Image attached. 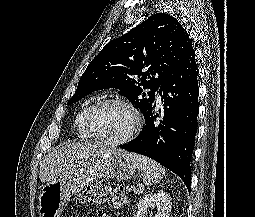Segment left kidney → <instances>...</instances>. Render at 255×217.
Instances as JSON below:
<instances>
[{
	"label": "left kidney",
	"instance_id": "obj_1",
	"mask_svg": "<svg viewBox=\"0 0 255 217\" xmlns=\"http://www.w3.org/2000/svg\"><path fill=\"white\" fill-rule=\"evenodd\" d=\"M149 208H156L154 217H169L171 199L164 191L146 194L138 203V211L134 217H146Z\"/></svg>",
	"mask_w": 255,
	"mask_h": 217
}]
</instances>
